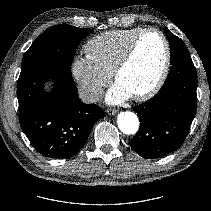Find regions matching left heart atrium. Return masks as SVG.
Here are the masks:
<instances>
[{"label":"left heart atrium","instance_id":"1","mask_svg":"<svg viewBox=\"0 0 211 211\" xmlns=\"http://www.w3.org/2000/svg\"><path fill=\"white\" fill-rule=\"evenodd\" d=\"M131 96L132 94L129 90H127L120 83L116 82L115 84L112 85V87L108 92L107 101L113 104L120 103L122 101L129 99Z\"/></svg>","mask_w":211,"mask_h":211}]
</instances>
